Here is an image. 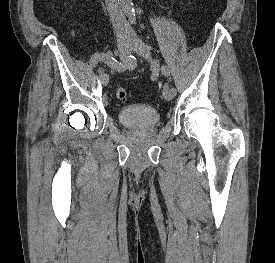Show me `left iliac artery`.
<instances>
[{
  "mask_svg": "<svg viewBox=\"0 0 275 263\" xmlns=\"http://www.w3.org/2000/svg\"><path fill=\"white\" fill-rule=\"evenodd\" d=\"M161 71H162V74L165 75V76L170 75L169 68L166 65H162ZM170 90L176 95V89L175 88L172 87Z\"/></svg>",
  "mask_w": 275,
  "mask_h": 263,
  "instance_id": "44dca946",
  "label": "left iliac artery"
}]
</instances>
